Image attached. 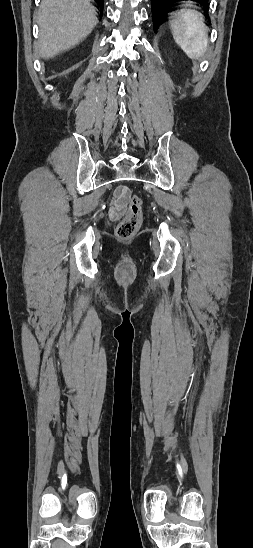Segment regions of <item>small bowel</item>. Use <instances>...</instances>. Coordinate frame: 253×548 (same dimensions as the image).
I'll use <instances>...</instances> for the list:
<instances>
[{
    "mask_svg": "<svg viewBox=\"0 0 253 548\" xmlns=\"http://www.w3.org/2000/svg\"><path fill=\"white\" fill-rule=\"evenodd\" d=\"M128 198L129 189L123 185L118 186L109 209V216L112 219H119L126 212Z\"/></svg>",
    "mask_w": 253,
    "mask_h": 548,
    "instance_id": "1",
    "label": "small bowel"
}]
</instances>
